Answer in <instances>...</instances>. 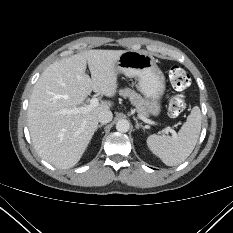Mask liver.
Instances as JSON below:
<instances>
[{
  "mask_svg": "<svg viewBox=\"0 0 233 233\" xmlns=\"http://www.w3.org/2000/svg\"><path fill=\"white\" fill-rule=\"evenodd\" d=\"M124 50H89L59 60L44 70L34 85L28 106V128L39 156L60 169L75 166L98 126V114L109 110L102 101L86 113L82 107L92 92L113 97L116 62ZM88 65L91 78L86 74Z\"/></svg>",
  "mask_w": 233,
  "mask_h": 233,
  "instance_id": "obj_1",
  "label": "liver"
}]
</instances>
